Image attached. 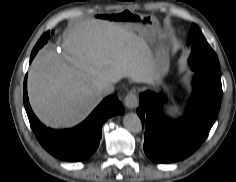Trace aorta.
<instances>
[{
  "label": "aorta",
  "mask_w": 236,
  "mask_h": 182,
  "mask_svg": "<svg viewBox=\"0 0 236 182\" xmlns=\"http://www.w3.org/2000/svg\"><path fill=\"white\" fill-rule=\"evenodd\" d=\"M125 128L132 133H139L142 130V122L135 113H128L123 118Z\"/></svg>",
  "instance_id": "aorta-1"
}]
</instances>
